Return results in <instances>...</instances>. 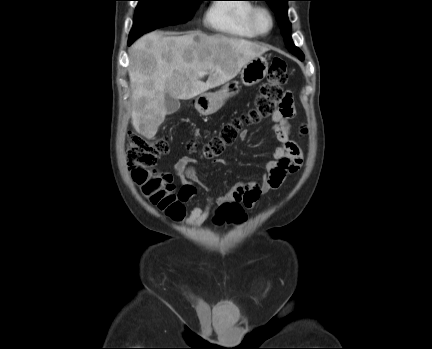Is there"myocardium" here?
Wrapping results in <instances>:
<instances>
[{
    "label": "myocardium",
    "mask_w": 432,
    "mask_h": 349,
    "mask_svg": "<svg viewBox=\"0 0 432 349\" xmlns=\"http://www.w3.org/2000/svg\"><path fill=\"white\" fill-rule=\"evenodd\" d=\"M260 13L266 14L267 17L269 18L270 26H269L268 30H266V31L261 30L259 25H258V16ZM249 24H250L251 29L255 32V34L257 36H266L274 28V25H275L274 15L271 12V10L265 6H260V5L255 6V7H253V9L250 12Z\"/></svg>",
    "instance_id": "f54148a6"
}]
</instances>
